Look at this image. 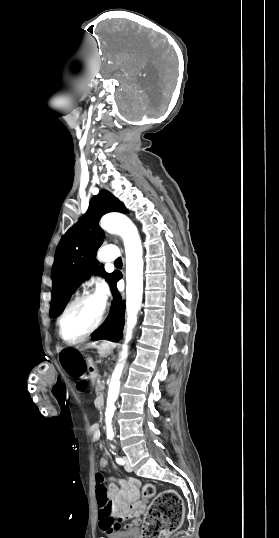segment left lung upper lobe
Listing matches in <instances>:
<instances>
[{
	"mask_svg": "<svg viewBox=\"0 0 279 538\" xmlns=\"http://www.w3.org/2000/svg\"><path fill=\"white\" fill-rule=\"evenodd\" d=\"M118 211L128 213L125 206L110 192L100 191L91 199L85 215L66 232L58 244L52 272V317L60 314L78 285L95 271L105 277L111 288L114 287L117 280L114 272L105 273L102 266L96 269L97 262L94 258L102 244L103 232L98 227L100 218L108 212Z\"/></svg>",
	"mask_w": 279,
	"mask_h": 538,
	"instance_id": "left-lung-upper-lobe-1",
	"label": "left lung upper lobe"
}]
</instances>
